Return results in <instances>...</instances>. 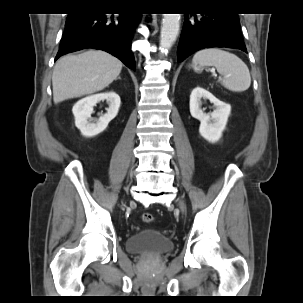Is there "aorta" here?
<instances>
[{
  "instance_id": "762f6f07",
  "label": "aorta",
  "mask_w": 303,
  "mask_h": 303,
  "mask_svg": "<svg viewBox=\"0 0 303 303\" xmlns=\"http://www.w3.org/2000/svg\"><path fill=\"white\" fill-rule=\"evenodd\" d=\"M180 14H163L161 33H160V50L166 53L174 44L179 34Z\"/></svg>"
}]
</instances>
